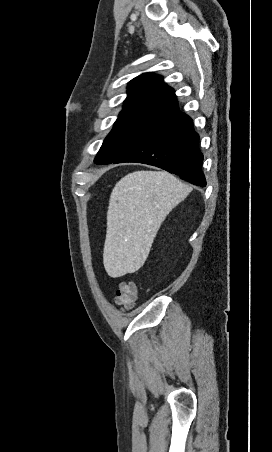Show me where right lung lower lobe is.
<instances>
[{
    "instance_id": "98d812e1",
    "label": "right lung lower lobe",
    "mask_w": 272,
    "mask_h": 452,
    "mask_svg": "<svg viewBox=\"0 0 272 452\" xmlns=\"http://www.w3.org/2000/svg\"><path fill=\"white\" fill-rule=\"evenodd\" d=\"M137 162L162 168L181 179L206 186L203 155L192 120L181 111L159 116L148 130L113 163Z\"/></svg>"
}]
</instances>
